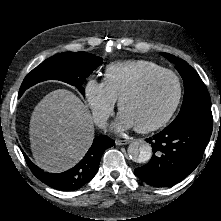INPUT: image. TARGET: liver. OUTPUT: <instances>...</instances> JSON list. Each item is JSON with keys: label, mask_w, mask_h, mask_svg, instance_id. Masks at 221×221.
Returning <instances> with one entry per match:
<instances>
[{"label": "liver", "mask_w": 221, "mask_h": 221, "mask_svg": "<svg viewBox=\"0 0 221 221\" xmlns=\"http://www.w3.org/2000/svg\"><path fill=\"white\" fill-rule=\"evenodd\" d=\"M29 126L35 163L52 173L76 165L94 138L90 111L75 94L65 89L50 92L36 105Z\"/></svg>", "instance_id": "6515ba94"}]
</instances>
